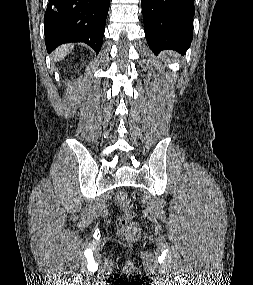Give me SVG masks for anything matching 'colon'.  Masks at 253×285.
<instances>
[{"label": "colon", "mask_w": 253, "mask_h": 285, "mask_svg": "<svg viewBox=\"0 0 253 285\" xmlns=\"http://www.w3.org/2000/svg\"><path fill=\"white\" fill-rule=\"evenodd\" d=\"M116 202L123 211L122 217L119 219V233L120 235L128 240L133 241L139 236L138 226L132 222L133 212L130 209V199L126 192L119 191L116 194Z\"/></svg>", "instance_id": "colon-1"}]
</instances>
